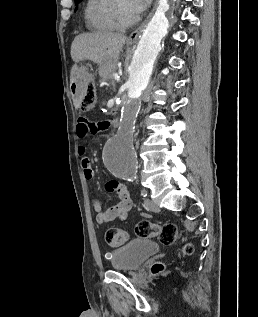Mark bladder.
Returning a JSON list of instances; mask_svg holds the SVG:
<instances>
[{
    "instance_id": "1",
    "label": "bladder",
    "mask_w": 258,
    "mask_h": 317,
    "mask_svg": "<svg viewBox=\"0 0 258 317\" xmlns=\"http://www.w3.org/2000/svg\"><path fill=\"white\" fill-rule=\"evenodd\" d=\"M159 245L151 240L134 239L111 252L110 263L114 270L132 271L159 252Z\"/></svg>"
}]
</instances>
